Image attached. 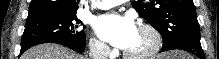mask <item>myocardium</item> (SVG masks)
Listing matches in <instances>:
<instances>
[{"label": "myocardium", "mask_w": 219, "mask_h": 59, "mask_svg": "<svg viewBox=\"0 0 219 59\" xmlns=\"http://www.w3.org/2000/svg\"><path fill=\"white\" fill-rule=\"evenodd\" d=\"M139 30L147 33L151 37L150 46L139 53H132L127 50L123 51L124 57L128 59H147L155 55L162 46V36L160 32L151 24L144 23L139 26Z\"/></svg>", "instance_id": "obj_1"}]
</instances>
